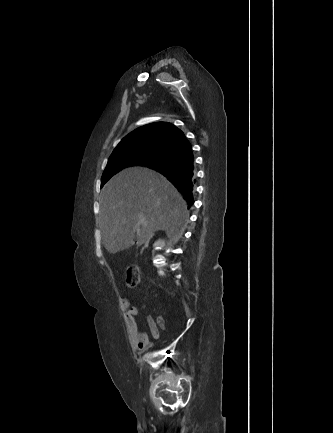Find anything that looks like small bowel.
I'll list each match as a JSON object with an SVG mask.
<instances>
[{
  "mask_svg": "<svg viewBox=\"0 0 333 433\" xmlns=\"http://www.w3.org/2000/svg\"><path fill=\"white\" fill-rule=\"evenodd\" d=\"M121 308L127 324L131 345L139 352L145 351L150 346L151 342L149 335L141 329L137 321L138 310L131 306L130 301L127 298L122 299ZM149 330L153 339H158L160 337L159 328L152 320L149 321Z\"/></svg>",
  "mask_w": 333,
  "mask_h": 433,
  "instance_id": "small-bowel-1",
  "label": "small bowel"
}]
</instances>
